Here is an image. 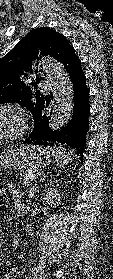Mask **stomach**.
<instances>
[{"instance_id": "0dacf381", "label": "stomach", "mask_w": 113, "mask_h": 279, "mask_svg": "<svg viewBox=\"0 0 113 279\" xmlns=\"http://www.w3.org/2000/svg\"><path fill=\"white\" fill-rule=\"evenodd\" d=\"M52 158L53 154L41 146H11L0 154V170L2 168L35 171L49 165Z\"/></svg>"}]
</instances>
